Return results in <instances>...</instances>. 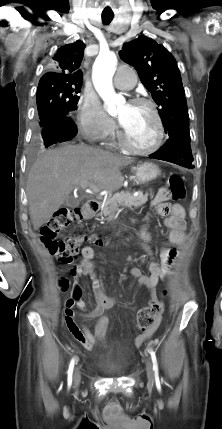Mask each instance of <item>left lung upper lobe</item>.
Here are the masks:
<instances>
[{
    "label": "left lung upper lobe",
    "instance_id": "obj_1",
    "mask_svg": "<svg viewBox=\"0 0 222 429\" xmlns=\"http://www.w3.org/2000/svg\"><path fill=\"white\" fill-rule=\"evenodd\" d=\"M119 54L135 67L142 84L151 92L169 139H190L185 91L172 54L146 36L124 44Z\"/></svg>",
    "mask_w": 222,
    "mask_h": 429
}]
</instances>
